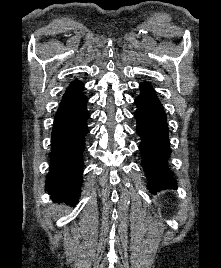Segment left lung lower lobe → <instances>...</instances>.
<instances>
[{"mask_svg":"<svg viewBox=\"0 0 221 268\" xmlns=\"http://www.w3.org/2000/svg\"><path fill=\"white\" fill-rule=\"evenodd\" d=\"M139 87L141 94L135 99L136 132L142 139L139 149L144 158L143 168L148 175L147 187L154 193L176 186L167 165L171 154L167 117L153 88L146 82Z\"/></svg>","mask_w":221,"mask_h":268,"instance_id":"1","label":"left lung lower lobe"}]
</instances>
